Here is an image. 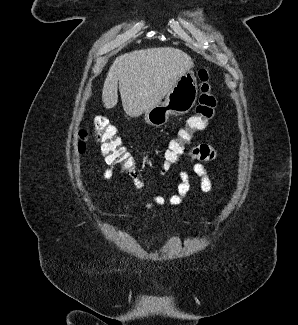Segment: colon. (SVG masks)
<instances>
[{"label": "colon", "mask_w": 298, "mask_h": 325, "mask_svg": "<svg viewBox=\"0 0 298 325\" xmlns=\"http://www.w3.org/2000/svg\"><path fill=\"white\" fill-rule=\"evenodd\" d=\"M198 79L200 82L198 105L194 113L186 120L185 125L177 131L176 137L170 140L167 145L164 152V168L166 170L179 161L185 147L192 142L194 134L203 131L214 116L217 101L213 95L209 69H199ZM93 129L105 159L127 172L133 178L135 184L141 187L143 182L135 170L134 160L123 145L116 126L105 117H96L93 120ZM86 137L87 131L81 129L78 143L80 151L84 149Z\"/></svg>", "instance_id": "obj_1"}]
</instances>
